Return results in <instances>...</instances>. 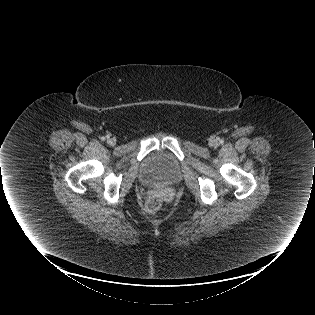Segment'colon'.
Masks as SVG:
<instances>
[{"mask_svg":"<svg viewBox=\"0 0 315 315\" xmlns=\"http://www.w3.org/2000/svg\"><path fill=\"white\" fill-rule=\"evenodd\" d=\"M162 205V199L158 194H153L151 196H149L148 200L145 203V210L148 213H154L157 210H159V208Z\"/></svg>","mask_w":315,"mask_h":315,"instance_id":"5ec220e1","label":"colon"}]
</instances>
